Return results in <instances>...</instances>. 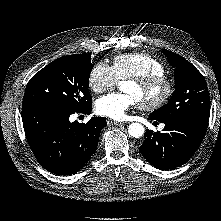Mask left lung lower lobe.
Segmentation results:
<instances>
[{"label": "left lung lower lobe", "mask_w": 221, "mask_h": 221, "mask_svg": "<svg viewBox=\"0 0 221 221\" xmlns=\"http://www.w3.org/2000/svg\"><path fill=\"white\" fill-rule=\"evenodd\" d=\"M164 123L163 132L147 130L140 146L143 157L155 168L169 170L185 164L199 148L208 126V121L193 118L159 121Z\"/></svg>", "instance_id": "obj_1"}]
</instances>
